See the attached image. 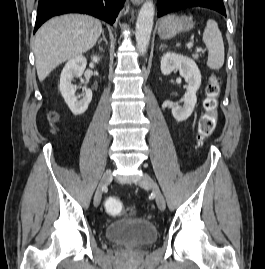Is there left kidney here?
<instances>
[{
	"instance_id": "obj_1",
	"label": "left kidney",
	"mask_w": 265,
	"mask_h": 269,
	"mask_svg": "<svg viewBox=\"0 0 265 269\" xmlns=\"http://www.w3.org/2000/svg\"><path fill=\"white\" fill-rule=\"evenodd\" d=\"M175 69L179 70L180 75L187 82V91L181 99L183 106L172 107L173 117L181 122L191 116L197 103L196 92L201 85V73L196 63L189 57L173 52L165 53L161 58L162 74L169 75Z\"/></svg>"
}]
</instances>
